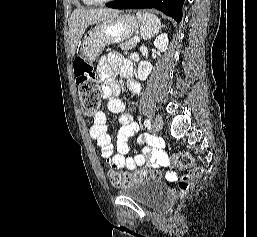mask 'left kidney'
I'll use <instances>...</instances> for the list:
<instances>
[{
    "label": "left kidney",
    "instance_id": "obj_1",
    "mask_svg": "<svg viewBox=\"0 0 257 237\" xmlns=\"http://www.w3.org/2000/svg\"><path fill=\"white\" fill-rule=\"evenodd\" d=\"M168 42V35L166 33H163L155 39L153 44L161 52H165L168 48ZM152 69L153 66L150 62L141 61L137 69L138 78L143 81L146 80L149 74L151 73Z\"/></svg>",
    "mask_w": 257,
    "mask_h": 237
}]
</instances>
